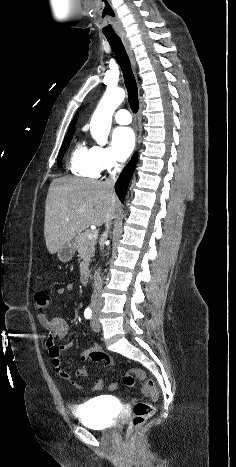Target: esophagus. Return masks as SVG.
Instances as JSON below:
<instances>
[{"label": "esophagus", "mask_w": 236, "mask_h": 467, "mask_svg": "<svg viewBox=\"0 0 236 467\" xmlns=\"http://www.w3.org/2000/svg\"><path fill=\"white\" fill-rule=\"evenodd\" d=\"M121 40L123 42V45H124V47L126 49V52H127L128 56H129L132 68L136 72V60H135L134 52H133V49H132V47L130 45V42H129L127 37H122Z\"/></svg>", "instance_id": "1"}]
</instances>
